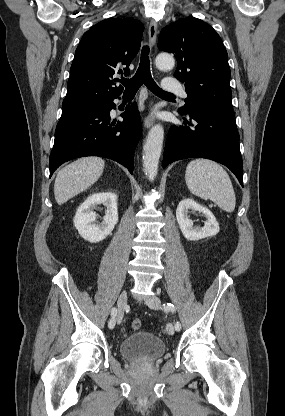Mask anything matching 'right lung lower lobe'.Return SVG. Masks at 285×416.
<instances>
[{"instance_id": "1", "label": "right lung lower lobe", "mask_w": 285, "mask_h": 416, "mask_svg": "<svg viewBox=\"0 0 285 416\" xmlns=\"http://www.w3.org/2000/svg\"><path fill=\"white\" fill-rule=\"evenodd\" d=\"M115 107L112 101L104 106L62 113L50 154V177L64 162L84 156L115 160L133 173L134 151L142 131L139 112L135 103L127 106L123 122L112 127L110 111Z\"/></svg>"}]
</instances>
